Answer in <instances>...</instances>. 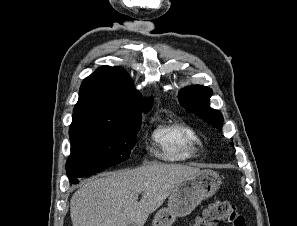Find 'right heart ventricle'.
Here are the masks:
<instances>
[{"instance_id": "obj_1", "label": "right heart ventricle", "mask_w": 297, "mask_h": 226, "mask_svg": "<svg viewBox=\"0 0 297 226\" xmlns=\"http://www.w3.org/2000/svg\"><path fill=\"white\" fill-rule=\"evenodd\" d=\"M155 140L162 147V157L170 161H183L197 155L199 136L190 127L182 124L159 127Z\"/></svg>"}]
</instances>
